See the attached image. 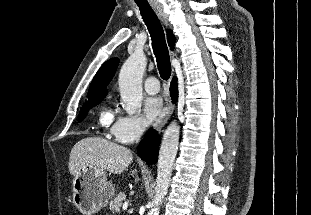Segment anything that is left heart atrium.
<instances>
[{
  "label": "left heart atrium",
  "mask_w": 311,
  "mask_h": 215,
  "mask_svg": "<svg viewBox=\"0 0 311 215\" xmlns=\"http://www.w3.org/2000/svg\"><path fill=\"white\" fill-rule=\"evenodd\" d=\"M162 100L159 97H148L143 104L142 121L145 126L150 125L162 114Z\"/></svg>",
  "instance_id": "1"
}]
</instances>
